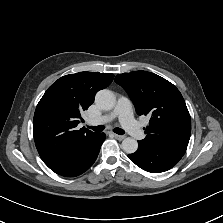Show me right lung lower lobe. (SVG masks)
<instances>
[{
  "mask_svg": "<svg viewBox=\"0 0 223 223\" xmlns=\"http://www.w3.org/2000/svg\"><path fill=\"white\" fill-rule=\"evenodd\" d=\"M105 137L104 133H98L95 139L88 145L87 151L81 160L70 169L57 174L65 177H74L88 170L95 162Z\"/></svg>",
  "mask_w": 223,
  "mask_h": 223,
  "instance_id": "obj_1",
  "label": "right lung lower lobe"
}]
</instances>
